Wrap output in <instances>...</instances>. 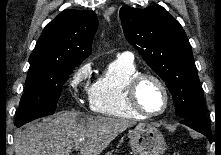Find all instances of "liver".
I'll use <instances>...</instances> for the list:
<instances>
[{
    "instance_id": "6515ba94",
    "label": "liver",
    "mask_w": 221,
    "mask_h": 155,
    "mask_svg": "<svg viewBox=\"0 0 221 155\" xmlns=\"http://www.w3.org/2000/svg\"><path fill=\"white\" fill-rule=\"evenodd\" d=\"M135 124L120 118L66 111L54 119L28 124L14 138L15 155H70L81 145L80 155H100L112 140Z\"/></svg>"
}]
</instances>
